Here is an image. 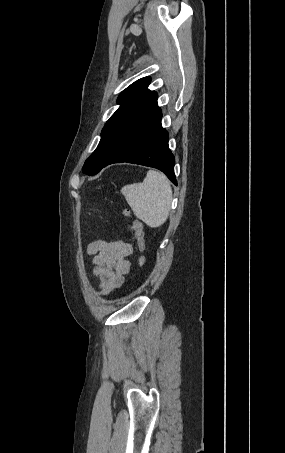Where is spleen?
Returning <instances> with one entry per match:
<instances>
[{"instance_id": "obj_1", "label": "spleen", "mask_w": 285, "mask_h": 453, "mask_svg": "<svg viewBox=\"0 0 285 453\" xmlns=\"http://www.w3.org/2000/svg\"><path fill=\"white\" fill-rule=\"evenodd\" d=\"M121 193L135 216L149 227L157 228L166 222L172 201V188L163 173L149 170L143 182L125 185L121 188Z\"/></svg>"}]
</instances>
